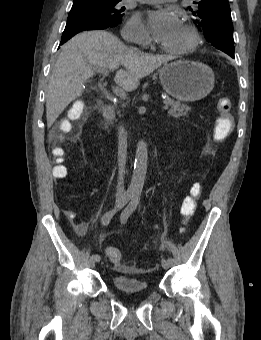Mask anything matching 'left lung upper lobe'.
I'll return each mask as SVG.
<instances>
[{"instance_id": "left-lung-upper-lobe-1", "label": "left lung upper lobe", "mask_w": 261, "mask_h": 340, "mask_svg": "<svg viewBox=\"0 0 261 340\" xmlns=\"http://www.w3.org/2000/svg\"><path fill=\"white\" fill-rule=\"evenodd\" d=\"M191 10L205 38L222 52L234 54L233 24L228 0H197Z\"/></svg>"}]
</instances>
